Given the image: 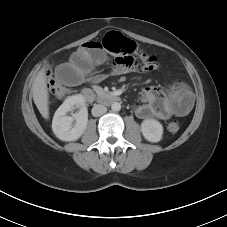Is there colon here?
Instances as JSON below:
<instances>
[{
    "mask_svg": "<svg viewBox=\"0 0 227 227\" xmlns=\"http://www.w3.org/2000/svg\"><path fill=\"white\" fill-rule=\"evenodd\" d=\"M98 42L103 45L105 50L116 57H133L136 61L135 65L142 70H155L159 67V63L154 56L144 52L134 41L119 32H110ZM136 57L139 59V62L136 60ZM46 84L51 95L56 99H61L70 92V89L59 83L50 72L47 73ZM180 126V121L174 119L168 124V129L170 132L176 133L179 131Z\"/></svg>",
    "mask_w": 227,
    "mask_h": 227,
    "instance_id": "colon-1",
    "label": "colon"
}]
</instances>
